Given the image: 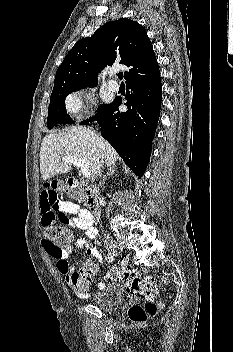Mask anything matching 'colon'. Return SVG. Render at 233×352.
Wrapping results in <instances>:
<instances>
[{
	"mask_svg": "<svg viewBox=\"0 0 233 352\" xmlns=\"http://www.w3.org/2000/svg\"><path fill=\"white\" fill-rule=\"evenodd\" d=\"M76 199H80L79 194H75ZM46 241L58 248H65L70 242V233L67 229L57 226L54 221L43 223ZM98 265L95 261L87 259L81 269L71 276V283L75 291L79 294L88 293L92 277L96 275ZM108 277L112 280L123 283L126 289L145 300L143 305H133L128 309V317L134 323H141L147 320L148 316L154 315L160 304L154 300L161 288L153 279L142 277L132 271L129 266L115 265L108 272Z\"/></svg>",
	"mask_w": 233,
	"mask_h": 352,
	"instance_id": "1",
	"label": "colon"
}]
</instances>
